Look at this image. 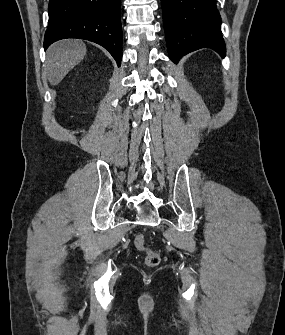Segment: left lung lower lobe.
I'll use <instances>...</instances> for the list:
<instances>
[{"mask_svg": "<svg viewBox=\"0 0 285 335\" xmlns=\"http://www.w3.org/2000/svg\"><path fill=\"white\" fill-rule=\"evenodd\" d=\"M161 6L169 57L174 63L201 48L225 56L216 0H161Z\"/></svg>", "mask_w": 285, "mask_h": 335, "instance_id": "0a47b994", "label": "left lung lower lobe"}]
</instances>
